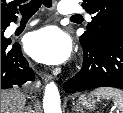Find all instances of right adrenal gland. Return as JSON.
Instances as JSON below:
<instances>
[{
	"label": "right adrenal gland",
	"mask_w": 123,
	"mask_h": 113,
	"mask_svg": "<svg viewBox=\"0 0 123 113\" xmlns=\"http://www.w3.org/2000/svg\"><path fill=\"white\" fill-rule=\"evenodd\" d=\"M28 113H33V110L31 108L28 109Z\"/></svg>",
	"instance_id": "2a0ac1e0"
}]
</instances>
